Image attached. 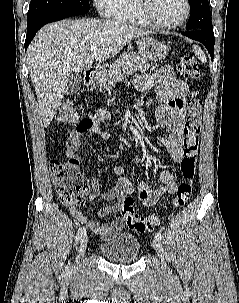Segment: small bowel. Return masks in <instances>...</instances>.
<instances>
[{"mask_svg":"<svg viewBox=\"0 0 239 303\" xmlns=\"http://www.w3.org/2000/svg\"><path fill=\"white\" fill-rule=\"evenodd\" d=\"M134 82L139 91L145 92L153 89L162 102L156 111V118L161 125L170 127L171 131L167 137L159 138V141L172 159L180 162L183 157L182 116L183 103L188 93L187 84L175 78L169 66H164L152 74L138 75ZM109 117L110 114L103 110L89 113L84 117L67 140L66 155L78 163L83 161V157L78 154V151L82 144L81 138L85 134H96L104 140L109 139V133L101 128V123ZM112 171L118 177L116 185L105 193H100L99 180L91 179L89 199L93 201L100 197L105 201L113 202L100 208L97 211L98 217H107L119 212L123 198L127 195L136 193L138 200L143 204L153 205L164 195L174 194L178 187L175 176L167 170L160 171L159 182L156 185L150 186L146 182H140L136 188L130 179L123 176V166L116 165ZM70 213L78 223L85 224L89 230L106 240L116 237L124 227V219L121 217H116L110 222L99 223L89 221L76 206L70 207Z\"/></svg>","mask_w":239,"mask_h":303,"instance_id":"c3829d8e","label":"small bowel"}]
</instances>
